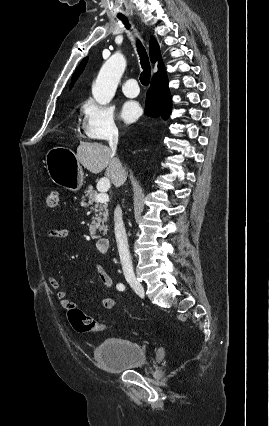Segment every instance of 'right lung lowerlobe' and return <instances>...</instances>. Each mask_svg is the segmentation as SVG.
Returning <instances> with one entry per match:
<instances>
[{
    "label": "right lung lower lobe",
    "mask_w": 269,
    "mask_h": 426,
    "mask_svg": "<svg viewBox=\"0 0 269 426\" xmlns=\"http://www.w3.org/2000/svg\"><path fill=\"white\" fill-rule=\"evenodd\" d=\"M171 108L168 78L164 72L151 80V87L147 91L145 114L153 118L162 117L166 120L171 114Z\"/></svg>",
    "instance_id": "98d812e1"
}]
</instances>
